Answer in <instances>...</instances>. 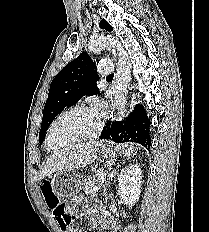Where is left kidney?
<instances>
[{"mask_svg": "<svg viewBox=\"0 0 209 232\" xmlns=\"http://www.w3.org/2000/svg\"><path fill=\"white\" fill-rule=\"evenodd\" d=\"M141 169L138 165H130L123 169L119 177L118 193L127 205L135 204L140 196L142 183Z\"/></svg>", "mask_w": 209, "mask_h": 232, "instance_id": "5707ae66", "label": "left kidney"}]
</instances>
